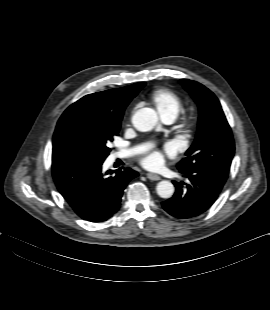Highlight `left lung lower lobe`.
Wrapping results in <instances>:
<instances>
[{"instance_id":"obj_1","label":"left lung lower lobe","mask_w":270,"mask_h":310,"mask_svg":"<svg viewBox=\"0 0 270 310\" xmlns=\"http://www.w3.org/2000/svg\"><path fill=\"white\" fill-rule=\"evenodd\" d=\"M189 183L173 181V197L162 203L163 208L179 219H189L206 212L216 201L228 175L210 172L203 168L180 171Z\"/></svg>"}]
</instances>
